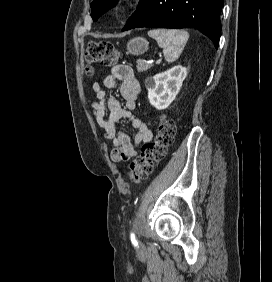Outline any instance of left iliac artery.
Instances as JSON below:
<instances>
[{
    "label": "left iliac artery",
    "instance_id": "left-iliac-artery-1",
    "mask_svg": "<svg viewBox=\"0 0 272 282\" xmlns=\"http://www.w3.org/2000/svg\"><path fill=\"white\" fill-rule=\"evenodd\" d=\"M130 238H131V241H132L134 244H137V241H136V238H135L134 233H131V234H130Z\"/></svg>",
    "mask_w": 272,
    "mask_h": 282
}]
</instances>
